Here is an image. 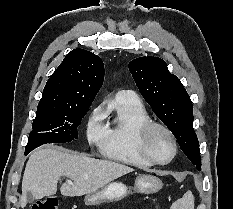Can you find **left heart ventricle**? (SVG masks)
<instances>
[{"label": "left heart ventricle", "instance_id": "1", "mask_svg": "<svg viewBox=\"0 0 233 209\" xmlns=\"http://www.w3.org/2000/svg\"><path fill=\"white\" fill-rule=\"evenodd\" d=\"M148 149L153 157L159 161L168 160L173 152V146L169 136L159 129L152 132L148 142Z\"/></svg>", "mask_w": 233, "mask_h": 209}]
</instances>
